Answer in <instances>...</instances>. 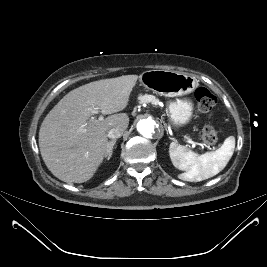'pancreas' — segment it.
Listing matches in <instances>:
<instances>
[{"label": "pancreas", "instance_id": "1", "mask_svg": "<svg viewBox=\"0 0 267 267\" xmlns=\"http://www.w3.org/2000/svg\"><path fill=\"white\" fill-rule=\"evenodd\" d=\"M140 103H151L153 105H157L159 100L153 95H142L138 97Z\"/></svg>", "mask_w": 267, "mask_h": 267}]
</instances>
